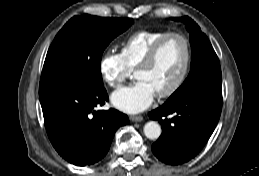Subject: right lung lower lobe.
I'll list each match as a JSON object with an SVG mask.
<instances>
[{
  "label": "right lung lower lobe",
  "instance_id": "obj_1",
  "mask_svg": "<svg viewBox=\"0 0 259 176\" xmlns=\"http://www.w3.org/2000/svg\"><path fill=\"white\" fill-rule=\"evenodd\" d=\"M48 137L56 151L77 166L91 165L108 152L116 130L129 122L115 110L95 111L108 101L102 87L66 82L40 86Z\"/></svg>",
  "mask_w": 259,
  "mask_h": 176
}]
</instances>
